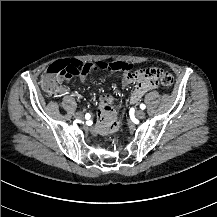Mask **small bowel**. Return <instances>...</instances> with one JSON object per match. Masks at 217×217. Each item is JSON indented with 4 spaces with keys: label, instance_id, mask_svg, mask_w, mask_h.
<instances>
[{
    "label": "small bowel",
    "instance_id": "c3829d8e",
    "mask_svg": "<svg viewBox=\"0 0 217 217\" xmlns=\"http://www.w3.org/2000/svg\"><path fill=\"white\" fill-rule=\"evenodd\" d=\"M131 68L128 71H124V75L122 77L121 86L122 89L127 88L133 83H136L138 80L136 75L132 73ZM80 80L84 82L85 77L81 76ZM65 92H68V89L64 88ZM152 93V87L149 84L140 85L138 81V85L132 90L129 95L128 102L131 105L138 103L140 98L144 96H149ZM114 99L110 94H101L97 98V108L95 110L96 128L92 129L93 134H97L98 132L113 134L119 128V121L116 118V110L111 104Z\"/></svg>",
    "mask_w": 217,
    "mask_h": 217
}]
</instances>
